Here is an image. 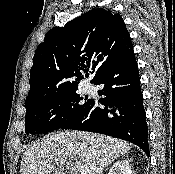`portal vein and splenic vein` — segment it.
I'll list each match as a JSON object with an SVG mask.
<instances>
[{
  "mask_svg": "<svg viewBox=\"0 0 175 174\" xmlns=\"http://www.w3.org/2000/svg\"><path fill=\"white\" fill-rule=\"evenodd\" d=\"M76 162L78 163L77 160H76ZM78 165H79L80 173H81V174H87L85 166H84V165H81V164H79V163H78Z\"/></svg>",
  "mask_w": 175,
  "mask_h": 174,
  "instance_id": "obj_1",
  "label": "portal vein and splenic vein"
}]
</instances>
